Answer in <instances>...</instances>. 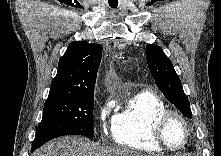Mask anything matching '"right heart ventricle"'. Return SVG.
Instances as JSON below:
<instances>
[{
  "label": "right heart ventricle",
  "instance_id": "1",
  "mask_svg": "<svg viewBox=\"0 0 221 156\" xmlns=\"http://www.w3.org/2000/svg\"><path fill=\"white\" fill-rule=\"evenodd\" d=\"M165 110V102L156 94L150 91L135 94L114 116L113 141L140 152H162L163 149L153 139L152 130L156 118Z\"/></svg>",
  "mask_w": 221,
  "mask_h": 156
}]
</instances>
